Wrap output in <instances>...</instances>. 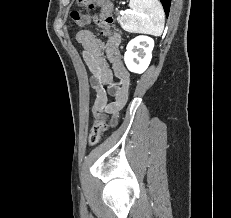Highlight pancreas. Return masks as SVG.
Segmentation results:
<instances>
[{
	"label": "pancreas",
	"mask_w": 231,
	"mask_h": 218,
	"mask_svg": "<svg viewBox=\"0 0 231 218\" xmlns=\"http://www.w3.org/2000/svg\"><path fill=\"white\" fill-rule=\"evenodd\" d=\"M117 20H118V22H121L122 19H121V18H118Z\"/></svg>",
	"instance_id": "1"
}]
</instances>
